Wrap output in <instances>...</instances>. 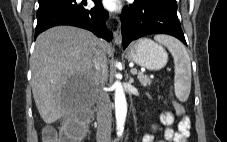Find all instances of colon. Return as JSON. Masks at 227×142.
I'll return each instance as SVG.
<instances>
[{"instance_id": "1", "label": "colon", "mask_w": 227, "mask_h": 142, "mask_svg": "<svg viewBox=\"0 0 227 142\" xmlns=\"http://www.w3.org/2000/svg\"><path fill=\"white\" fill-rule=\"evenodd\" d=\"M175 108L180 117L185 115V111L179 103H175ZM87 120L84 115L78 116L59 131L51 126L45 127L42 131V142H80Z\"/></svg>"}]
</instances>
